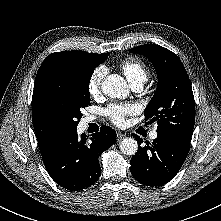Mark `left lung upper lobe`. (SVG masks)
I'll return each instance as SVG.
<instances>
[{
  "instance_id": "left-lung-upper-lobe-1",
  "label": "left lung upper lobe",
  "mask_w": 221,
  "mask_h": 221,
  "mask_svg": "<svg viewBox=\"0 0 221 221\" xmlns=\"http://www.w3.org/2000/svg\"><path fill=\"white\" fill-rule=\"evenodd\" d=\"M130 52L147 57L157 73V89L145 109V118L157 122L158 133L190 142L195 123V103L181 60L175 53L155 44L140 45Z\"/></svg>"
}]
</instances>
